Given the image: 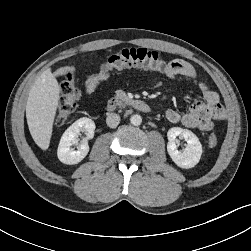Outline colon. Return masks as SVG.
<instances>
[{
  "mask_svg": "<svg viewBox=\"0 0 251 251\" xmlns=\"http://www.w3.org/2000/svg\"><path fill=\"white\" fill-rule=\"evenodd\" d=\"M168 65L169 63L156 51L146 48H126L112 54L102 65V71L109 73L128 67H141L152 71L164 72ZM64 76L65 81L61 84V96L55 116L56 126H61L68 120L81 96L74 70H66ZM208 143L211 147H215L218 143L217 136L211 134Z\"/></svg>",
  "mask_w": 251,
  "mask_h": 251,
  "instance_id": "colon-1",
  "label": "colon"
}]
</instances>
